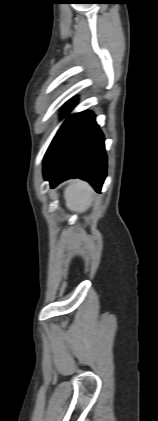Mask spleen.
<instances>
[{"label":"spleen","mask_w":158,"mask_h":421,"mask_svg":"<svg viewBox=\"0 0 158 421\" xmlns=\"http://www.w3.org/2000/svg\"><path fill=\"white\" fill-rule=\"evenodd\" d=\"M64 198L68 209L83 212L93 201V191L88 184L76 180L65 189Z\"/></svg>","instance_id":"1"}]
</instances>
